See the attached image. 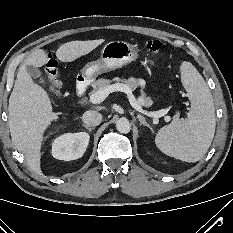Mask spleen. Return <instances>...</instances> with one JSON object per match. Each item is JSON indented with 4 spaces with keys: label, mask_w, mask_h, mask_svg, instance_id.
Listing matches in <instances>:
<instances>
[{
    "label": "spleen",
    "mask_w": 233,
    "mask_h": 233,
    "mask_svg": "<svg viewBox=\"0 0 233 233\" xmlns=\"http://www.w3.org/2000/svg\"><path fill=\"white\" fill-rule=\"evenodd\" d=\"M181 81L191 102L187 120H174L162 127L155 144L164 154L185 162H197L214 138L216 120L212 94L205 80L190 62L180 66Z\"/></svg>",
    "instance_id": "3e777b00"
}]
</instances>
